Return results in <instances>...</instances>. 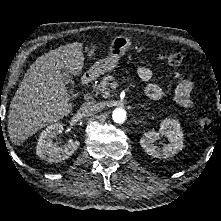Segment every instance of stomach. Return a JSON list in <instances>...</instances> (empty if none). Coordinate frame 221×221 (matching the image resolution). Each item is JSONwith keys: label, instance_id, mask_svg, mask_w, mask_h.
I'll return each instance as SVG.
<instances>
[{"label": "stomach", "instance_id": "0dacf381", "mask_svg": "<svg viewBox=\"0 0 221 221\" xmlns=\"http://www.w3.org/2000/svg\"><path fill=\"white\" fill-rule=\"evenodd\" d=\"M131 45L132 41L130 38L123 35L116 36L109 46V55L106 58L95 62L90 68L89 74L92 77H99L114 69L121 56L125 54Z\"/></svg>", "mask_w": 221, "mask_h": 221}]
</instances>
